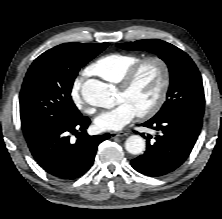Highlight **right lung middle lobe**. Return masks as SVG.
I'll list each match as a JSON object with an SVG mask.
<instances>
[{
	"mask_svg": "<svg viewBox=\"0 0 222 219\" xmlns=\"http://www.w3.org/2000/svg\"><path fill=\"white\" fill-rule=\"evenodd\" d=\"M108 43H65L40 55L27 71L20 93L21 126L26 140L81 115L70 96L81 67Z\"/></svg>",
	"mask_w": 222,
	"mask_h": 219,
	"instance_id": "dd1d6c3e",
	"label": "right lung middle lobe"
}]
</instances>
